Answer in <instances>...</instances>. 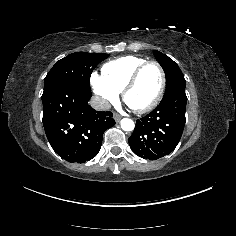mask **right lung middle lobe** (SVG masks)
I'll list each match as a JSON object with an SVG mask.
<instances>
[{
  "label": "right lung middle lobe",
  "mask_w": 236,
  "mask_h": 236,
  "mask_svg": "<svg viewBox=\"0 0 236 236\" xmlns=\"http://www.w3.org/2000/svg\"><path fill=\"white\" fill-rule=\"evenodd\" d=\"M109 54L77 52L59 60L44 79V90L56 83L67 82L91 91L90 75L94 68Z\"/></svg>",
  "instance_id": "1"
}]
</instances>
